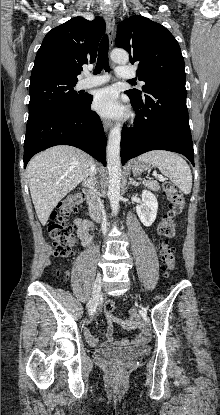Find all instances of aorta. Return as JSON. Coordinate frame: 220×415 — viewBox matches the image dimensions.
<instances>
[{
  "label": "aorta",
  "instance_id": "762f6f07",
  "mask_svg": "<svg viewBox=\"0 0 220 415\" xmlns=\"http://www.w3.org/2000/svg\"><path fill=\"white\" fill-rule=\"evenodd\" d=\"M111 59L118 64H126L129 61L128 53L123 49H114L111 52ZM121 128L114 126L109 133L107 142V169H108V197L111 209L117 213L119 209L120 187H121V158H120Z\"/></svg>",
  "mask_w": 220,
  "mask_h": 415
}]
</instances>
